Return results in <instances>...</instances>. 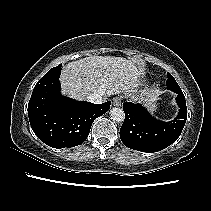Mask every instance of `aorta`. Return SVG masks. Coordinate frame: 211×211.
I'll list each match as a JSON object with an SVG mask.
<instances>
[{"label":"aorta","instance_id":"obj_1","mask_svg":"<svg viewBox=\"0 0 211 211\" xmlns=\"http://www.w3.org/2000/svg\"><path fill=\"white\" fill-rule=\"evenodd\" d=\"M110 117L113 121L122 122L125 118V113L121 108H112L110 110Z\"/></svg>","mask_w":211,"mask_h":211}]
</instances>
